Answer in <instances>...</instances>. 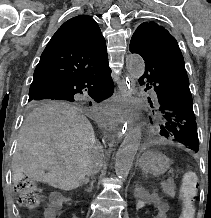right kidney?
<instances>
[{"label":"right kidney","mask_w":211,"mask_h":218,"mask_svg":"<svg viewBox=\"0 0 211 218\" xmlns=\"http://www.w3.org/2000/svg\"><path fill=\"white\" fill-rule=\"evenodd\" d=\"M49 198H53V201H48V206L44 209L46 218H62L64 206H67V197H64V193H49Z\"/></svg>","instance_id":"ca27d5eb"}]
</instances>
